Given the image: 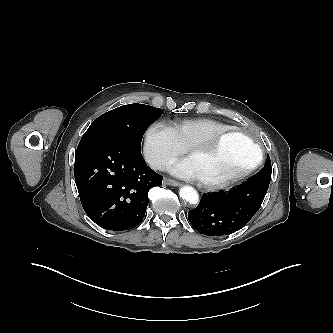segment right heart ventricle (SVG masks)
Masks as SVG:
<instances>
[{"label":"right heart ventricle","instance_id":"e07e8e85","mask_svg":"<svg viewBox=\"0 0 333 333\" xmlns=\"http://www.w3.org/2000/svg\"><path fill=\"white\" fill-rule=\"evenodd\" d=\"M171 128L180 143L188 149L195 142L207 139L232 127L210 118H194L176 121Z\"/></svg>","mask_w":333,"mask_h":333}]
</instances>
